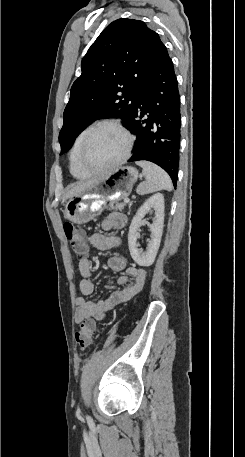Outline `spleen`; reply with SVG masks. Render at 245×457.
Instances as JSON below:
<instances>
[{
	"instance_id": "1",
	"label": "spleen",
	"mask_w": 245,
	"mask_h": 457,
	"mask_svg": "<svg viewBox=\"0 0 245 457\" xmlns=\"http://www.w3.org/2000/svg\"><path fill=\"white\" fill-rule=\"evenodd\" d=\"M136 164L142 166L143 174L146 180L140 182L136 188L138 194H149V192H156V190H172V180L160 166L148 162V160H136Z\"/></svg>"
}]
</instances>
